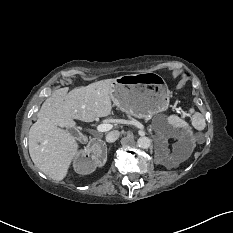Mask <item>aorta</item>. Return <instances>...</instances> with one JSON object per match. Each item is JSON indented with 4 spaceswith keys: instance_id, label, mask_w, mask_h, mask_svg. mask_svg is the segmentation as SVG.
Listing matches in <instances>:
<instances>
[{
    "instance_id": "obj_1",
    "label": "aorta",
    "mask_w": 233,
    "mask_h": 233,
    "mask_svg": "<svg viewBox=\"0 0 233 233\" xmlns=\"http://www.w3.org/2000/svg\"><path fill=\"white\" fill-rule=\"evenodd\" d=\"M137 143L140 148L148 149L151 145V139L148 137H140Z\"/></svg>"
}]
</instances>
